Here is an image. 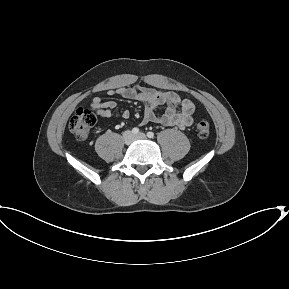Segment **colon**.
<instances>
[{
	"mask_svg": "<svg viewBox=\"0 0 289 289\" xmlns=\"http://www.w3.org/2000/svg\"><path fill=\"white\" fill-rule=\"evenodd\" d=\"M95 122L96 116L91 110L79 108L69 121V130L78 140L84 141L88 138ZM196 130L199 138H208L210 134L209 123L206 120H199Z\"/></svg>",
	"mask_w": 289,
	"mask_h": 289,
	"instance_id": "1",
	"label": "colon"
}]
</instances>
